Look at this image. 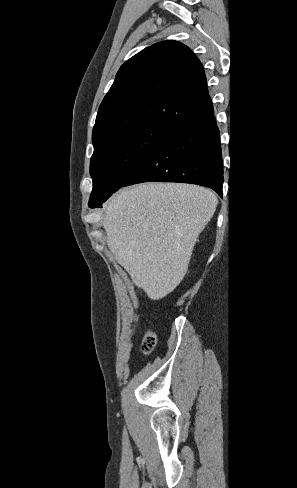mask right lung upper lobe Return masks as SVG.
<instances>
[{
    "instance_id": "right-lung-upper-lobe-1",
    "label": "right lung upper lobe",
    "mask_w": 297,
    "mask_h": 488,
    "mask_svg": "<svg viewBox=\"0 0 297 488\" xmlns=\"http://www.w3.org/2000/svg\"><path fill=\"white\" fill-rule=\"evenodd\" d=\"M211 105L197 56L180 42H159L121 66L99 107L92 142L135 126L172 128Z\"/></svg>"
}]
</instances>
